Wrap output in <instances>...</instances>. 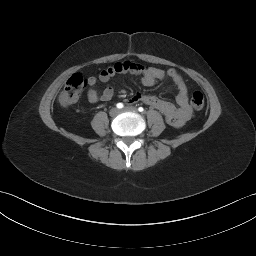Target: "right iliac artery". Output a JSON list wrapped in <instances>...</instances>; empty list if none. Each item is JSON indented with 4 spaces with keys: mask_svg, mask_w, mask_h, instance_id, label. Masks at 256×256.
<instances>
[{
    "mask_svg": "<svg viewBox=\"0 0 256 256\" xmlns=\"http://www.w3.org/2000/svg\"><path fill=\"white\" fill-rule=\"evenodd\" d=\"M116 106H117V108H119V109H121V108L124 107L123 103H118Z\"/></svg>",
    "mask_w": 256,
    "mask_h": 256,
    "instance_id": "right-iliac-artery-1",
    "label": "right iliac artery"
}]
</instances>
